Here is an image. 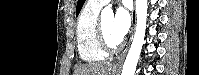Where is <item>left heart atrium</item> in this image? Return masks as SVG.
<instances>
[{
	"label": "left heart atrium",
	"instance_id": "left-heart-atrium-1",
	"mask_svg": "<svg viewBox=\"0 0 199 75\" xmlns=\"http://www.w3.org/2000/svg\"><path fill=\"white\" fill-rule=\"evenodd\" d=\"M131 24L130 15L126 8H118L112 23V32L116 38L120 41L123 40L127 34Z\"/></svg>",
	"mask_w": 199,
	"mask_h": 75
}]
</instances>
